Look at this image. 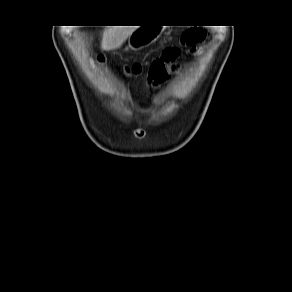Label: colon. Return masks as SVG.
<instances>
[{"label":"colon","instance_id":"5ec220e1","mask_svg":"<svg viewBox=\"0 0 292 292\" xmlns=\"http://www.w3.org/2000/svg\"><path fill=\"white\" fill-rule=\"evenodd\" d=\"M204 31L201 29H192L190 30L184 40L187 43L193 44L197 43L198 41L202 40L204 38ZM180 50L177 48H171L164 52L161 58L155 59L150 64V71L149 76L150 79L156 80V81H162L166 78L167 72L165 70L166 64L173 62L176 57L179 55ZM141 70L140 64H135L131 67V71L134 73H137Z\"/></svg>","mask_w":292,"mask_h":292}]
</instances>
